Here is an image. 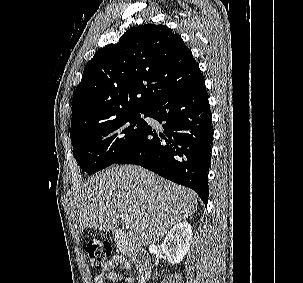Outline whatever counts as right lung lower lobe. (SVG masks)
I'll list each match as a JSON object with an SVG mask.
<instances>
[{"mask_svg":"<svg viewBox=\"0 0 303 283\" xmlns=\"http://www.w3.org/2000/svg\"><path fill=\"white\" fill-rule=\"evenodd\" d=\"M204 82L201 74L154 103L147 116L163 123L164 131L148 125L134 146L115 163L140 165L193 189L207 204L213 127Z\"/></svg>","mask_w":303,"mask_h":283,"instance_id":"1","label":"right lung lower lobe"}]
</instances>
